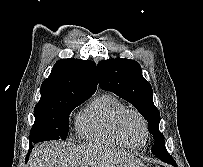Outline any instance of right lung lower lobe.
Segmentation results:
<instances>
[{"label": "right lung lower lobe", "instance_id": "98d812e1", "mask_svg": "<svg viewBox=\"0 0 203 167\" xmlns=\"http://www.w3.org/2000/svg\"><path fill=\"white\" fill-rule=\"evenodd\" d=\"M32 149H33V145H32V142H31L30 145H29V150H32ZM29 155H30V151H29V153L26 156V161L28 160Z\"/></svg>", "mask_w": 203, "mask_h": 167}]
</instances>
